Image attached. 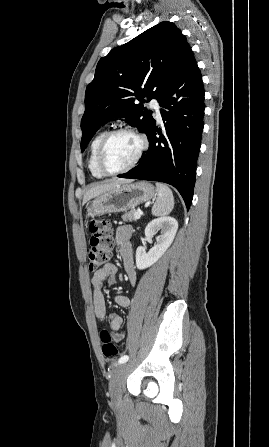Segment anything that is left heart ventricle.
Instances as JSON below:
<instances>
[{"instance_id": "left-heart-ventricle-1", "label": "left heart ventricle", "mask_w": 269, "mask_h": 447, "mask_svg": "<svg viewBox=\"0 0 269 447\" xmlns=\"http://www.w3.org/2000/svg\"><path fill=\"white\" fill-rule=\"evenodd\" d=\"M141 147L140 138L131 132H119L109 140L104 162L109 169H120L128 166L136 157Z\"/></svg>"}]
</instances>
